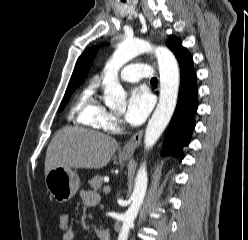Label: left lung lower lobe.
Listing matches in <instances>:
<instances>
[{
	"mask_svg": "<svg viewBox=\"0 0 248 240\" xmlns=\"http://www.w3.org/2000/svg\"><path fill=\"white\" fill-rule=\"evenodd\" d=\"M179 66L180 88L177 106L165 135L161 154L182 160L183 147L189 145L196 125L198 86L192 55L189 54Z\"/></svg>",
	"mask_w": 248,
	"mask_h": 240,
	"instance_id": "1",
	"label": "left lung lower lobe"
}]
</instances>
